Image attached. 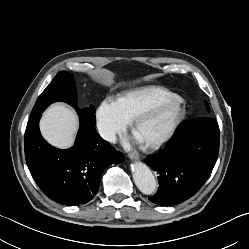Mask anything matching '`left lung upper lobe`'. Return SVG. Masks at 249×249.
<instances>
[{"label":"left lung upper lobe","instance_id":"5c2ea615","mask_svg":"<svg viewBox=\"0 0 249 249\" xmlns=\"http://www.w3.org/2000/svg\"><path fill=\"white\" fill-rule=\"evenodd\" d=\"M206 106H207V108H208V111H209V107H208V104L206 103Z\"/></svg>","mask_w":249,"mask_h":249}]
</instances>
